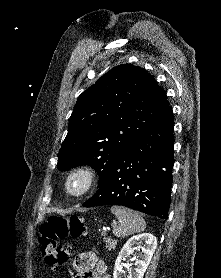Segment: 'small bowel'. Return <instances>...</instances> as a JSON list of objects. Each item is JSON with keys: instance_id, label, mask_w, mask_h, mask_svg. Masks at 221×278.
<instances>
[{"instance_id": "small-bowel-1", "label": "small bowel", "mask_w": 221, "mask_h": 278, "mask_svg": "<svg viewBox=\"0 0 221 278\" xmlns=\"http://www.w3.org/2000/svg\"><path fill=\"white\" fill-rule=\"evenodd\" d=\"M75 278H110L105 261L95 252L80 253L75 260Z\"/></svg>"}]
</instances>
